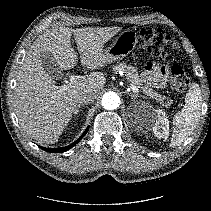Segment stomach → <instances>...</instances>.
<instances>
[{
    "mask_svg": "<svg viewBox=\"0 0 211 211\" xmlns=\"http://www.w3.org/2000/svg\"><path fill=\"white\" fill-rule=\"evenodd\" d=\"M138 43V35L131 29L124 30L104 51L108 62L117 61L128 56Z\"/></svg>",
    "mask_w": 211,
    "mask_h": 211,
    "instance_id": "1",
    "label": "stomach"
}]
</instances>
